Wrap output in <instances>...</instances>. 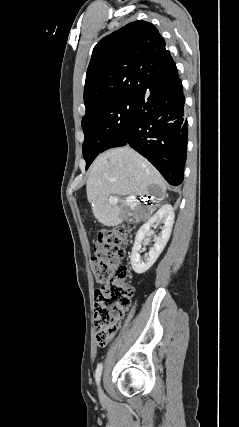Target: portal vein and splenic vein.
I'll use <instances>...</instances> for the list:
<instances>
[{
	"label": "portal vein and splenic vein",
	"mask_w": 239,
	"mask_h": 427,
	"mask_svg": "<svg viewBox=\"0 0 239 427\" xmlns=\"http://www.w3.org/2000/svg\"><path fill=\"white\" fill-rule=\"evenodd\" d=\"M135 201L134 197H127L125 202L129 205L132 204ZM119 202V199L116 196H110L109 197V203L110 204H117Z\"/></svg>",
	"instance_id": "portal-vein-and-splenic-vein-1"
}]
</instances>
